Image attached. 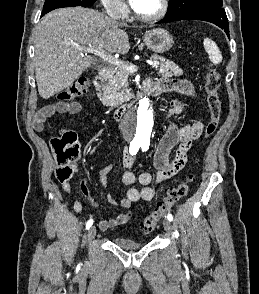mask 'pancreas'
<instances>
[{"instance_id": "cf45deb5", "label": "pancreas", "mask_w": 259, "mask_h": 294, "mask_svg": "<svg viewBox=\"0 0 259 294\" xmlns=\"http://www.w3.org/2000/svg\"><path fill=\"white\" fill-rule=\"evenodd\" d=\"M151 59L161 62L158 68V74L163 77L180 76L183 74V70L172 61L157 55H152ZM127 64L130 65L129 63ZM130 75V72L121 67L113 69L101 89V99L105 105L114 106L129 101L130 98L127 97L129 90H125L124 87Z\"/></svg>"}]
</instances>
